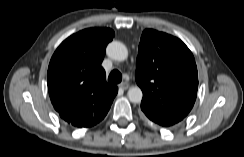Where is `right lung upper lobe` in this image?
I'll return each mask as SVG.
<instances>
[{"instance_id": "right-lung-upper-lobe-1", "label": "right lung upper lobe", "mask_w": 244, "mask_h": 157, "mask_svg": "<svg viewBox=\"0 0 244 157\" xmlns=\"http://www.w3.org/2000/svg\"><path fill=\"white\" fill-rule=\"evenodd\" d=\"M110 28H89L64 40L47 72L51 102L60 117L74 127H91L109 111L118 88L106 82L101 67Z\"/></svg>"}]
</instances>
